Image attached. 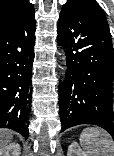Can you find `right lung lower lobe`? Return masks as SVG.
<instances>
[{"label": "right lung lower lobe", "instance_id": "1", "mask_svg": "<svg viewBox=\"0 0 114 156\" xmlns=\"http://www.w3.org/2000/svg\"><path fill=\"white\" fill-rule=\"evenodd\" d=\"M35 11L0 27V128L27 138L31 109Z\"/></svg>", "mask_w": 114, "mask_h": 156}]
</instances>
